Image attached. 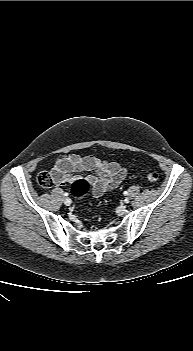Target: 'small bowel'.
<instances>
[{
    "label": "small bowel",
    "instance_id": "small-bowel-1",
    "mask_svg": "<svg viewBox=\"0 0 193 351\" xmlns=\"http://www.w3.org/2000/svg\"><path fill=\"white\" fill-rule=\"evenodd\" d=\"M79 172H92L86 180L97 197L116 188L126 176V170L116 162L77 154L59 157L51 170V176L56 185L65 186L77 179L75 173Z\"/></svg>",
    "mask_w": 193,
    "mask_h": 351
}]
</instances>
